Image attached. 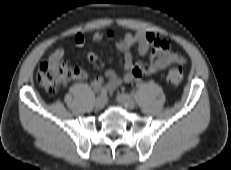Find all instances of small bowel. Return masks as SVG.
I'll use <instances>...</instances> for the list:
<instances>
[{
    "instance_id": "small-bowel-1",
    "label": "small bowel",
    "mask_w": 231,
    "mask_h": 170,
    "mask_svg": "<svg viewBox=\"0 0 231 170\" xmlns=\"http://www.w3.org/2000/svg\"><path fill=\"white\" fill-rule=\"evenodd\" d=\"M113 36V32L103 33L95 32L93 41L101 42L104 37ZM74 43L81 48L85 45V37L81 33L74 36ZM117 49L124 54L123 69L124 73L119 75L114 70H107L104 77H96L91 80L92 88L105 90L112 93L121 84H128L146 75H154L167 68L172 63L183 64L184 58L171 52V41L164 39L160 35L152 32L127 33L116 44ZM137 49L140 57L149 54V61L143 63L133 58L132 50ZM64 50L56 49L49 57L48 61L52 63L60 62L63 59ZM90 62H96L98 56L94 52L87 54Z\"/></svg>"
}]
</instances>
